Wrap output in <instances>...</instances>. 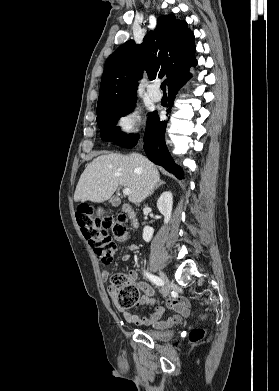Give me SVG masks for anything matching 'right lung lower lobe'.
<instances>
[{
	"label": "right lung lower lobe",
	"instance_id": "obj_1",
	"mask_svg": "<svg viewBox=\"0 0 279 391\" xmlns=\"http://www.w3.org/2000/svg\"><path fill=\"white\" fill-rule=\"evenodd\" d=\"M190 77L191 74L186 75L169 89L168 102L170 108L167 109V112H170L171 104L179 88H181ZM166 126L167 122L161 121L156 111L149 115L144 135V150L151 161L163 166L166 170L175 174L177 178L182 179L183 172L171 159L165 144ZM137 141L138 135H130L124 139L120 138L116 143L122 147H133Z\"/></svg>",
	"mask_w": 279,
	"mask_h": 391
}]
</instances>
